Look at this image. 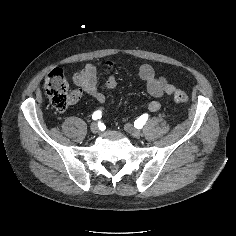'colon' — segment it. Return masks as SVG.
<instances>
[{
  "label": "colon",
  "instance_id": "1",
  "mask_svg": "<svg viewBox=\"0 0 236 236\" xmlns=\"http://www.w3.org/2000/svg\"><path fill=\"white\" fill-rule=\"evenodd\" d=\"M44 88L52 106L64 111L71 103L68 81L61 69H54L45 78ZM175 103L184 104L189 100V96L182 90H175L173 93Z\"/></svg>",
  "mask_w": 236,
  "mask_h": 236
}]
</instances>
